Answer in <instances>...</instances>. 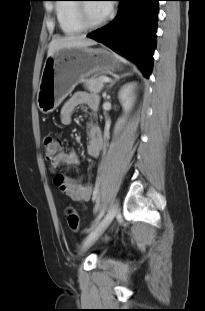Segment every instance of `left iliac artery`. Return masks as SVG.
<instances>
[{"instance_id": "1", "label": "left iliac artery", "mask_w": 205, "mask_h": 311, "mask_svg": "<svg viewBox=\"0 0 205 311\" xmlns=\"http://www.w3.org/2000/svg\"><path fill=\"white\" fill-rule=\"evenodd\" d=\"M96 209H97V207H96ZM104 213H105L104 210L100 211V213L98 214V216H97L95 222H98V221L103 217Z\"/></svg>"}]
</instances>
